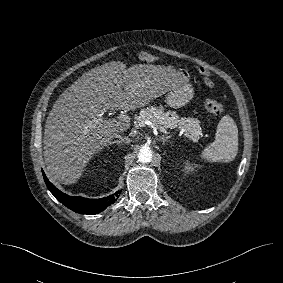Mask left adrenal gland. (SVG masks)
<instances>
[{
	"instance_id": "a2214340",
	"label": "left adrenal gland",
	"mask_w": 283,
	"mask_h": 283,
	"mask_svg": "<svg viewBox=\"0 0 283 283\" xmlns=\"http://www.w3.org/2000/svg\"><path fill=\"white\" fill-rule=\"evenodd\" d=\"M169 138H171L170 135H162V136L158 137L157 140L162 141L163 144H165V142H166Z\"/></svg>"
}]
</instances>
